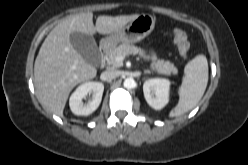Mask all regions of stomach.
<instances>
[{
  "label": "stomach",
  "instance_id": "0dacf381",
  "mask_svg": "<svg viewBox=\"0 0 248 165\" xmlns=\"http://www.w3.org/2000/svg\"><path fill=\"white\" fill-rule=\"evenodd\" d=\"M155 27V18L150 14H141L126 26L105 39L110 45L118 43L132 44L148 36Z\"/></svg>",
  "mask_w": 248,
  "mask_h": 165
}]
</instances>
